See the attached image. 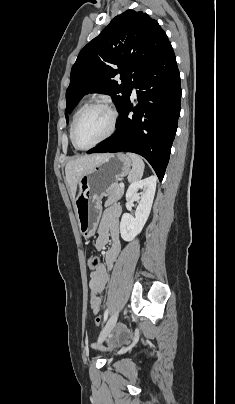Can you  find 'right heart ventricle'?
<instances>
[{
    "label": "right heart ventricle",
    "mask_w": 235,
    "mask_h": 404,
    "mask_svg": "<svg viewBox=\"0 0 235 404\" xmlns=\"http://www.w3.org/2000/svg\"><path fill=\"white\" fill-rule=\"evenodd\" d=\"M85 106H86V104H83V105L76 111V113L74 114V117H73V120H72V123H71V126H70V134H71V129H72V126H73V123H74L75 118L77 117L78 113H79Z\"/></svg>",
    "instance_id": "right-heart-ventricle-1"
}]
</instances>
